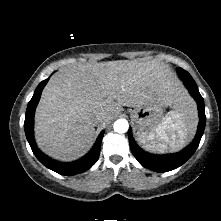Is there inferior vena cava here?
Returning <instances> with one entry per match:
<instances>
[{
	"label": "inferior vena cava",
	"mask_w": 221,
	"mask_h": 221,
	"mask_svg": "<svg viewBox=\"0 0 221 221\" xmlns=\"http://www.w3.org/2000/svg\"><path fill=\"white\" fill-rule=\"evenodd\" d=\"M96 123H103L106 120V117L103 114H99L96 116Z\"/></svg>",
	"instance_id": "obj_1"
}]
</instances>
